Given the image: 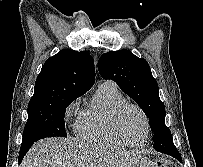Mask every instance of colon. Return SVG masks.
Returning <instances> with one entry per match:
<instances>
[{
	"label": "colon",
	"mask_w": 203,
	"mask_h": 167,
	"mask_svg": "<svg viewBox=\"0 0 203 167\" xmlns=\"http://www.w3.org/2000/svg\"><path fill=\"white\" fill-rule=\"evenodd\" d=\"M156 167H176V166L169 160L162 159L157 162Z\"/></svg>",
	"instance_id": "1"
}]
</instances>
